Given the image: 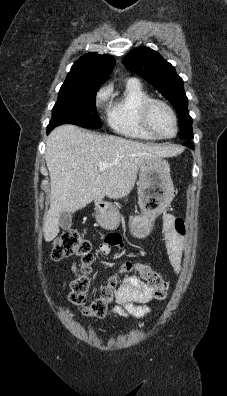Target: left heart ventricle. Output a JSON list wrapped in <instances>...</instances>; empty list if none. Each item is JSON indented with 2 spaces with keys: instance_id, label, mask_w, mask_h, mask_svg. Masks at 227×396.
<instances>
[{
  "instance_id": "left-heart-ventricle-1",
  "label": "left heart ventricle",
  "mask_w": 227,
  "mask_h": 396,
  "mask_svg": "<svg viewBox=\"0 0 227 396\" xmlns=\"http://www.w3.org/2000/svg\"><path fill=\"white\" fill-rule=\"evenodd\" d=\"M151 122L156 131L163 136H172L175 132L172 115L161 105H155L152 108Z\"/></svg>"
}]
</instances>
